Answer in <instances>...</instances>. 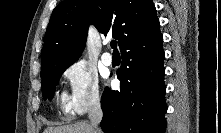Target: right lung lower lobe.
Wrapping results in <instances>:
<instances>
[{
    "mask_svg": "<svg viewBox=\"0 0 221 133\" xmlns=\"http://www.w3.org/2000/svg\"><path fill=\"white\" fill-rule=\"evenodd\" d=\"M160 34L139 39L121 49L122 65L117 73L120 91L105 88L101 98L105 133H164V51Z\"/></svg>",
    "mask_w": 221,
    "mask_h": 133,
    "instance_id": "1",
    "label": "right lung lower lobe"
}]
</instances>
